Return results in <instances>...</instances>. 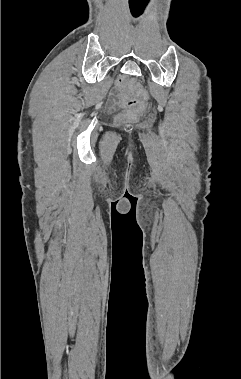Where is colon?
<instances>
[{
  "instance_id": "1",
  "label": "colon",
  "mask_w": 241,
  "mask_h": 379,
  "mask_svg": "<svg viewBox=\"0 0 241 379\" xmlns=\"http://www.w3.org/2000/svg\"><path fill=\"white\" fill-rule=\"evenodd\" d=\"M123 81H120L119 85L121 86ZM144 96V94H143ZM121 104L126 107V111L120 116L121 121H134L136 120L144 111L146 99L138 98L132 99L124 94H120Z\"/></svg>"
}]
</instances>
